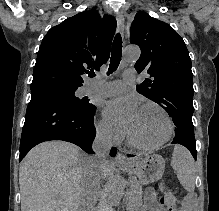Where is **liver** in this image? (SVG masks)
I'll list each match as a JSON object with an SVG mask.
<instances>
[{"mask_svg":"<svg viewBox=\"0 0 219 211\" xmlns=\"http://www.w3.org/2000/svg\"><path fill=\"white\" fill-rule=\"evenodd\" d=\"M97 165L91 167V155L68 141L35 145L19 167L21 211H78L84 195L95 205L101 179L113 177L114 161Z\"/></svg>","mask_w":219,"mask_h":211,"instance_id":"6515ba94","label":"liver"}]
</instances>
